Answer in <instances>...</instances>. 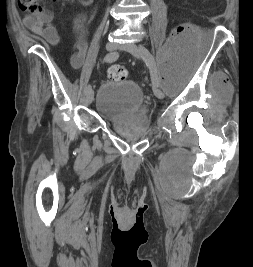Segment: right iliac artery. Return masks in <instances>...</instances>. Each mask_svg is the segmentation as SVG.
<instances>
[{
    "mask_svg": "<svg viewBox=\"0 0 253 267\" xmlns=\"http://www.w3.org/2000/svg\"><path fill=\"white\" fill-rule=\"evenodd\" d=\"M118 58H119V53L118 52H111V53H108L105 56L104 62L111 63V62L116 61ZM90 89H91L90 85H86L85 86V91L86 92L89 91Z\"/></svg>",
    "mask_w": 253,
    "mask_h": 267,
    "instance_id": "obj_1",
    "label": "right iliac artery"
}]
</instances>
